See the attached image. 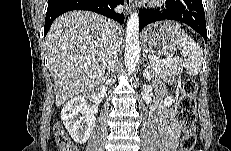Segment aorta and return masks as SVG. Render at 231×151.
Segmentation results:
<instances>
[{
    "label": "aorta",
    "instance_id": "aorta-1",
    "mask_svg": "<svg viewBox=\"0 0 231 151\" xmlns=\"http://www.w3.org/2000/svg\"><path fill=\"white\" fill-rule=\"evenodd\" d=\"M140 55L139 44V16L137 12L130 15L126 28L125 69L134 72Z\"/></svg>",
    "mask_w": 231,
    "mask_h": 151
}]
</instances>
